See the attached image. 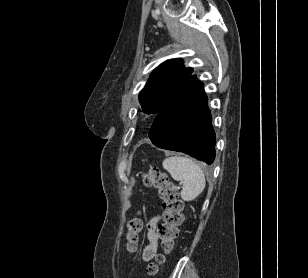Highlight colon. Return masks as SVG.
Masks as SVG:
<instances>
[{
    "instance_id": "colon-1",
    "label": "colon",
    "mask_w": 308,
    "mask_h": 278,
    "mask_svg": "<svg viewBox=\"0 0 308 278\" xmlns=\"http://www.w3.org/2000/svg\"><path fill=\"white\" fill-rule=\"evenodd\" d=\"M143 185L146 188L158 190L163 207V222L157 227V237L162 248V253L155 256L157 263L165 260V255L171 252L178 237L179 226L183 221V203L179 198L177 187L169 180L168 176L157 168L141 174ZM142 230V221L138 217L131 218L127 223L126 247L130 252L137 249L139 233ZM150 263L147 267L149 275L158 272V264Z\"/></svg>"
}]
</instances>
